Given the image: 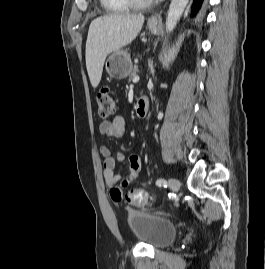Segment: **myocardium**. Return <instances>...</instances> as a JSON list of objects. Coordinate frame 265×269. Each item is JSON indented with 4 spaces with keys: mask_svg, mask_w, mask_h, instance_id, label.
<instances>
[{
    "mask_svg": "<svg viewBox=\"0 0 265 269\" xmlns=\"http://www.w3.org/2000/svg\"><path fill=\"white\" fill-rule=\"evenodd\" d=\"M125 1L132 8H146L153 5L158 0H125Z\"/></svg>",
    "mask_w": 265,
    "mask_h": 269,
    "instance_id": "obj_1",
    "label": "myocardium"
}]
</instances>
